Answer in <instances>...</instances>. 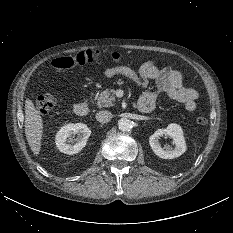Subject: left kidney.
<instances>
[{"label": "left kidney", "mask_w": 233, "mask_h": 233, "mask_svg": "<svg viewBox=\"0 0 233 233\" xmlns=\"http://www.w3.org/2000/svg\"><path fill=\"white\" fill-rule=\"evenodd\" d=\"M169 136L173 139L174 148H162L160 137ZM149 144L154 153L162 159H174L186 151V142L182 128L177 124H169L165 129H158L149 137Z\"/></svg>", "instance_id": "1"}]
</instances>
